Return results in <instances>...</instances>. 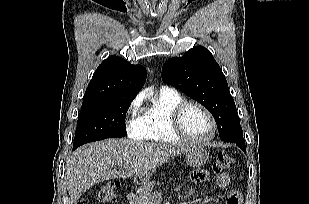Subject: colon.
<instances>
[{"label": "colon", "mask_w": 309, "mask_h": 204, "mask_svg": "<svg viewBox=\"0 0 309 204\" xmlns=\"http://www.w3.org/2000/svg\"><path fill=\"white\" fill-rule=\"evenodd\" d=\"M233 165H234V159L228 152L222 151L217 154L214 162L215 171L223 172L230 169ZM98 197L102 203L114 202L117 199V185L113 182H108L104 184L99 192ZM228 202L230 204L234 203L239 204L240 198H238L237 196L231 197L228 200ZM77 204H86V203L84 201H79Z\"/></svg>", "instance_id": "5ec220e1"}]
</instances>
